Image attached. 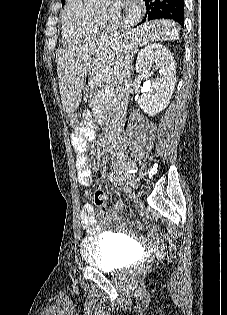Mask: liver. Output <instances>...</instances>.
Segmentation results:
<instances>
[{
    "mask_svg": "<svg viewBox=\"0 0 227 315\" xmlns=\"http://www.w3.org/2000/svg\"><path fill=\"white\" fill-rule=\"evenodd\" d=\"M179 32L180 27L175 21L155 20L118 32L115 38L102 35L59 52L56 62L64 112L70 114L78 109L88 75L113 78L123 57H127L131 64V56L138 47L154 41L179 40Z\"/></svg>",
    "mask_w": 227,
    "mask_h": 315,
    "instance_id": "6515ba94",
    "label": "liver"
}]
</instances>
